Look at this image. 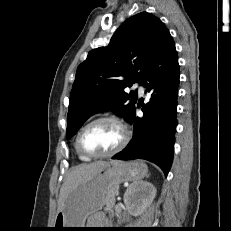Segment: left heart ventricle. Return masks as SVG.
Instances as JSON below:
<instances>
[{"instance_id":"obj_1","label":"left heart ventricle","mask_w":231,"mask_h":231,"mask_svg":"<svg viewBox=\"0 0 231 231\" xmlns=\"http://www.w3.org/2000/svg\"><path fill=\"white\" fill-rule=\"evenodd\" d=\"M122 139L121 129L112 122H98L83 134L82 146L91 154H101L114 149Z\"/></svg>"}]
</instances>
